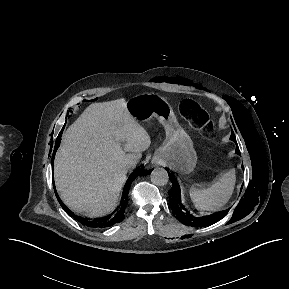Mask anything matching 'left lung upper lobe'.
Listing matches in <instances>:
<instances>
[{"instance_id":"5c2ea615","label":"left lung upper lobe","mask_w":289,"mask_h":289,"mask_svg":"<svg viewBox=\"0 0 289 289\" xmlns=\"http://www.w3.org/2000/svg\"><path fill=\"white\" fill-rule=\"evenodd\" d=\"M231 140H233L234 142H236V138H235L234 133H232V135H231ZM236 144H237V143H236ZM236 153H237V154H240V151H239L238 145L236 146Z\"/></svg>"}]
</instances>
